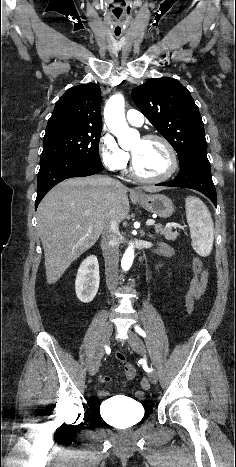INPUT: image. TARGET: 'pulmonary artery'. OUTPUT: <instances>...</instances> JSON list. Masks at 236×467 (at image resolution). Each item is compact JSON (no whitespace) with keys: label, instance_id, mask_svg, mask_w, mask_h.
I'll return each mask as SVG.
<instances>
[{"label":"pulmonary artery","instance_id":"1","mask_svg":"<svg viewBox=\"0 0 236 467\" xmlns=\"http://www.w3.org/2000/svg\"><path fill=\"white\" fill-rule=\"evenodd\" d=\"M127 121L134 126H142L144 123L143 114L135 109H130L126 113Z\"/></svg>","mask_w":236,"mask_h":467}]
</instances>
